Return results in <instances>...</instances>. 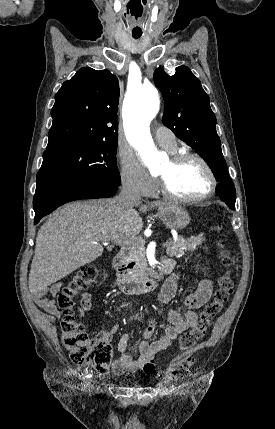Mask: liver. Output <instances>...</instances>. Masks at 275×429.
I'll list each match as a JSON object with an SVG mask.
<instances>
[{"instance_id": "1", "label": "liver", "mask_w": 275, "mask_h": 429, "mask_svg": "<svg viewBox=\"0 0 275 429\" xmlns=\"http://www.w3.org/2000/svg\"><path fill=\"white\" fill-rule=\"evenodd\" d=\"M170 205L157 202L150 205ZM134 207L145 213L149 206L136 202L121 205L117 197L67 204L56 210L37 233L35 253L29 273V289L45 293L48 286L103 253L102 242L113 235H138L143 221Z\"/></svg>"}]
</instances>
